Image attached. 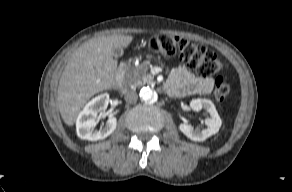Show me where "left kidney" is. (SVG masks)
<instances>
[{"instance_id":"left-kidney-1","label":"left kidney","mask_w":292,"mask_h":192,"mask_svg":"<svg viewBox=\"0 0 292 192\" xmlns=\"http://www.w3.org/2000/svg\"><path fill=\"white\" fill-rule=\"evenodd\" d=\"M190 107L194 111H200L201 109H204L209 113L210 118L205 119L206 128L202 131L194 129L193 126L188 123H181L179 129L184 135L193 141L201 142L219 131L222 125V120L218 115L214 103L211 100L200 98L193 99L190 102Z\"/></svg>"}]
</instances>
